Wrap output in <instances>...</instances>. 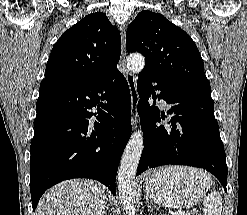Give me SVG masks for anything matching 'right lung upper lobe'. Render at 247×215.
Instances as JSON below:
<instances>
[{
    "label": "right lung upper lobe",
    "mask_w": 247,
    "mask_h": 215,
    "mask_svg": "<svg viewBox=\"0 0 247 215\" xmlns=\"http://www.w3.org/2000/svg\"><path fill=\"white\" fill-rule=\"evenodd\" d=\"M121 36L106 14L95 12L68 29L55 43L45 79L85 86L117 69Z\"/></svg>",
    "instance_id": "cb5924a9"
}]
</instances>
